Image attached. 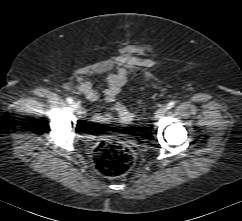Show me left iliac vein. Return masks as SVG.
I'll return each mask as SVG.
<instances>
[{"label":"left iliac vein","mask_w":242,"mask_h":221,"mask_svg":"<svg viewBox=\"0 0 242 221\" xmlns=\"http://www.w3.org/2000/svg\"><path fill=\"white\" fill-rule=\"evenodd\" d=\"M167 111V108L165 106H161L160 108L157 109V111L155 112V117L156 118H161L165 115Z\"/></svg>","instance_id":"4c4485c4"}]
</instances>
